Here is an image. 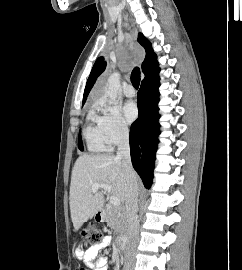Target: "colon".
<instances>
[{
  "instance_id": "colon-1",
  "label": "colon",
  "mask_w": 242,
  "mask_h": 270,
  "mask_svg": "<svg viewBox=\"0 0 242 270\" xmlns=\"http://www.w3.org/2000/svg\"><path fill=\"white\" fill-rule=\"evenodd\" d=\"M83 241L86 244H96L100 241L102 232L95 226L87 227L83 233ZM77 270H87L85 267H79Z\"/></svg>"
}]
</instances>
